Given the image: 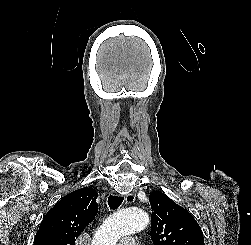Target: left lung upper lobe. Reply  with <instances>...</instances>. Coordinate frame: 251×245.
Instances as JSON below:
<instances>
[{
  "instance_id": "left-lung-upper-lobe-1",
  "label": "left lung upper lobe",
  "mask_w": 251,
  "mask_h": 245,
  "mask_svg": "<svg viewBox=\"0 0 251 245\" xmlns=\"http://www.w3.org/2000/svg\"><path fill=\"white\" fill-rule=\"evenodd\" d=\"M151 239L154 245H204L194 217L161 191L150 194Z\"/></svg>"
}]
</instances>
